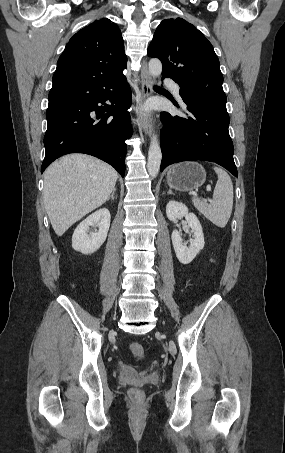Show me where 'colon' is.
<instances>
[{"label":"colon","instance_id":"1","mask_svg":"<svg viewBox=\"0 0 285 453\" xmlns=\"http://www.w3.org/2000/svg\"><path fill=\"white\" fill-rule=\"evenodd\" d=\"M130 352L133 355V357H135L137 359L143 358V356L145 354L143 345L138 342H132L130 344ZM140 395H141V392L139 390H137V389L131 390L132 397L138 398V397H140Z\"/></svg>","mask_w":285,"mask_h":453}]
</instances>
